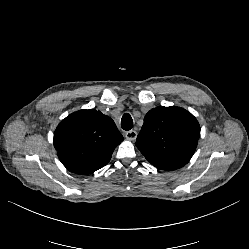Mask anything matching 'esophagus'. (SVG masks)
<instances>
[{
  "instance_id": "esophagus-1",
  "label": "esophagus",
  "mask_w": 249,
  "mask_h": 249,
  "mask_svg": "<svg viewBox=\"0 0 249 249\" xmlns=\"http://www.w3.org/2000/svg\"><path fill=\"white\" fill-rule=\"evenodd\" d=\"M138 133L135 130H129L125 133V137L127 140L134 141L137 137Z\"/></svg>"
}]
</instances>
